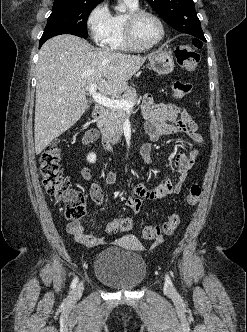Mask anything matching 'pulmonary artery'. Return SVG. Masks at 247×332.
Wrapping results in <instances>:
<instances>
[{
  "instance_id": "1",
  "label": "pulmonary artery",
  "mask_w": 247,
  "mask_h": 332,
  "mask_svg": "<svg viewBox=\"0 0 247 332\" xmlns=\"http://www.w3.org/2000/svg\"><path fill=\"white\" fill-rule=\"evenodd\" d=\"M128 1H130L131 3H138V0H128Z\"/></svg>"
}]
</instances>
